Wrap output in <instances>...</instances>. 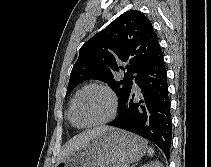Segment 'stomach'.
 <instances>
[{
	"mask_svg": "<svg viewBox=\"0 0 211 167\" xmlns=\"http://www.w3.org/2000/svg\"><path fill=\"white\" fill-rule=\"evenodd\" d=\"M146 148L144 139L111 128L66 156L55 167H129L144 156Z\"/></svg>",
	"mask_w": 211,
	"mask_h": 167,
	"instance_id": "1",
	"label": "stomach"
}]
</instances>
